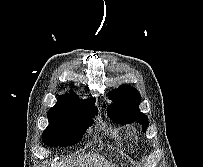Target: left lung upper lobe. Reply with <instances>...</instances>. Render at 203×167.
I'll use <instances>...</instances> for the list:
<instances>
[{
  "mask_svg": "<svg viewBox=\"0 0 203 167\" xmlns=\"http://www.w3.org/2000/svg\"><path fill=\"white\" fill-rule=\"evenodd\" d=\"M108 96L113 103L108 105L107 111L114 122L121 124L137 122L142 125L143 132L146 131L149 121L139 109L141 95L137 89L129 85H122L112 90Z\"/></svg>",
  "mask_w": 203,
  "mask_h": 167,
  "instance_id": "obj_1",
  "label": "left lung upper lobe"
}]
</instances>
